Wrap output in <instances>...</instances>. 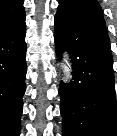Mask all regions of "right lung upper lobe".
<instances>
[{"instance_id": "cb5924a9", "label": "right lung upper lobe", "mask_w": 117, "mask_h": 136, "mask_svg": "<svg viewBox=\"0 0 117 136\" xmlns=\"http://www.w3.org/2000/svg\"><path fill=\"white\" fill-rule=\"evenodd\" d=\"M24 0H0V36L25 24Z\"/></svg>"}]
</instances>
